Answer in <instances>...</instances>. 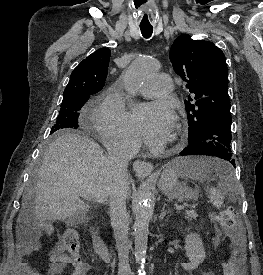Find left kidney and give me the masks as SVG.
I'll list each match as a JSON object with an SVG mask.
<instances>
[{
  "mask_svg": "<svg viewBox=\"0 0 263 275\" xmlns=\"http://www.w3.org/2000/svg\"><path fill=\"white\" fill-rule=\"evenodd\" d=\"M185 251L190 262L182 263L181 266L186 271L195 270L205 260V249L198 234L191 233L186 235Z\"/></svg>",
  "mask_w": 263,
  "mask_h": 275,
  "instance_id": "obj_1",
  "label": "left kidney"
}]
</instances>
